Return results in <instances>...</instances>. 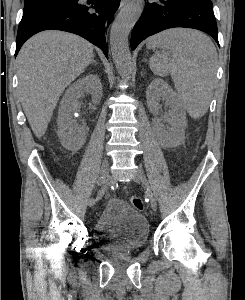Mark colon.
Segmentation results:
<instances>
[{"label": "colon", "instance_id": "colon-1", "mask_svg": "<svg viewBox=\"0 0 245 300\" xmlns=\"http://www.w3.org/2000/svg\"><path fill=\"white\" fill-rule=\"evenodd\" d=\"M131 204L138 211H141L144 208V201L138 196L131 198Z\"/></svg>", "mask_w": 245, "mask_h": 300}]
</instances>
